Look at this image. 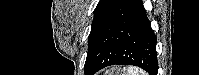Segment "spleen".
I'll return each instance as SVG.
<instances>
[{
  "mask_svg": "<svg viewBox=\"0 0 199 75\" xmlns=\"http://www.w3.org/2000/svg\"><path fill=\"white\" fill-rule=\"evenodd\" d=\"M128 75H147L143 70L136 67H129L127 70Z\"/></svg>",
  "mask_w": 199,
  "mask_h": 75,
  "instance_id": "1",
  "label": "spleen"
}]
</instances>
